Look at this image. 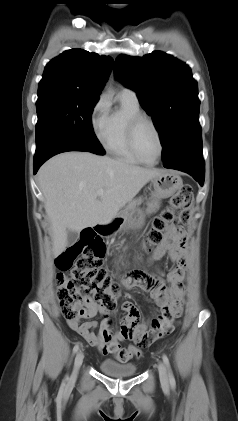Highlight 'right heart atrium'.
<instances>
[{
	"label": "right heart atrium",
	"instance_id": "right-heart-atrium-1",
	"mask_svg": "<svg viewBox=\"0 0 238 421\" xmlns=\"http://www.w3.org/2000/svg\"><path fill=\"white\" fill-rule=\"evenodd\" d=\"M108 115V100L105 95H101L90 111V123L98 137H101Z\"/></svg>",
	"mask_w": 238,
	"mask_h": 421
}]
</instances>
